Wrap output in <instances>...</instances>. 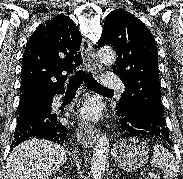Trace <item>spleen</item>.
I'll list each match as a JSON object with an SVG mask.
<instances>
[{
    "instance_id": "1",
    "label": "spleen",
    "mask_w": 183,
    "mask_h": 179,
    "mask_svg": "<svg viewBox=\"0 0 183 179\" xmlns=\"http://www.w3.org/2000/svg\"><path fill=\"white\" fill-rule=\"evenodd\" d=\"M151 166L161 168L164 172V179H177L179 165L177 159L163 146H153Z\"/></svg>"
}]
</instances>
